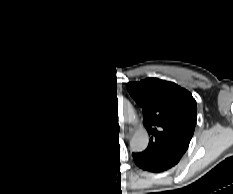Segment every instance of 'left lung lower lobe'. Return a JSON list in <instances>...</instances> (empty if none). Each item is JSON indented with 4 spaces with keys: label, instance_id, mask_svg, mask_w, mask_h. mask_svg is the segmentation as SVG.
<instances>
[{
    "label": "left lung lower lobe",
    "instance_id": "1",
    "mask_svg": "<svg viewBox=\"0 0 233 194\" xmlns=\"http://www.w3.org/2000/svg\"><path fill=\"white\" fill-rule=\"evenodd\" d=\"M133 158L139 167L152 172L167 170L177 164L180 160L171 157H156L144 152L133 154Z\"/></svg>",
    "mask_w": 233,
    "mask_h": 194
}]
</instances>
